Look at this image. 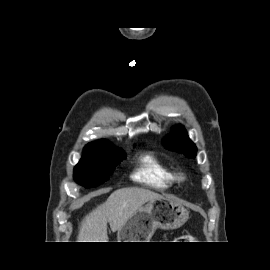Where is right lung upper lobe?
I'll return each instance as SVG.
<instances>
[{
	"mask_svg": "<svg viewBox=\"0 0 270 270\" xmlns=\"http://www.w3.org/2000/svg\"><path fill=\"white\" fill-rule=\"evenodd\" d=\"M112 146V144L107 140H99L93 143H89L86 149H97L102 147Z\"/></svg>",
	"mask_w": 270,
	"mask_h": 270,
	"instance_id": "right-lung-upper-lobe-1",
	"label": "right lung upper lobe"
}]
</instances>
